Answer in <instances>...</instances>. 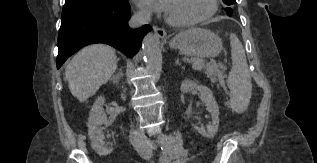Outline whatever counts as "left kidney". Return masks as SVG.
Returning <instances> with one entry per match:
<instances>
[{
	"label": "left kidney",
	"instance_id": "obj_1",
	"mask_svg": "<svg viewBox=\"0 0 317 163\" xmlns=\"http://www.w3.org/2000/svg\"><path fill=\"white\" fill-rule=\"evenodd\" d=\"M199 91L200 98L207 106L208 112L211 114L212 122L205 128L198 127L193 125V128L198 131L202 136L206 138H213L219 126V107L215 101L212 91L204 86L199 85L192 80H184L181 84V91L184 93L192 92V91Z\"/></svg>",
	"mask_w": 317,
	"mask_h": 163
}]
</instances>
